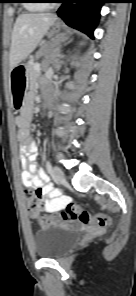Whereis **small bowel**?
Returning a JSON list of instances; mask_svg holds the SVG:
<instances>
[{"label": "small bowel", "mask_w": 136, "mask_h": 296, "mask_svg": "<svg viewBox=\"0 0 136 296\" xmlns=\"http://www.w3.org/2000/svg\"><path fill=\"white\" fill-rule=\"evenodd\" d=\"M27 97L25 108L16 116V124L19 129L18 140L20 143L21 166L23 169L22 182L26 187L40 191L43 199L42 210L46 213H52L63 209L70 200L49 183L45 172L38 163L37 145L31 138L29 131L35 111L33 106L36 99L35 92L30 91Z\"/></svg>", "instance_id": "obj_1"}]
</instances>
